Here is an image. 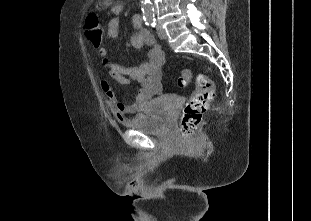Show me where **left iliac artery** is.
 <instances>
[{
	"label": "left iliac artery",
	"mask_w": 311,
	"mask_h": 221,
	"mask_svg": "<svg viewBox=\"0 0 311 221\" xmlns=\"http://www.w3.org/2000/svg\"><path fill=\"white\" fill-rule=\"evenodd\" d=\"M149 26L155 27V19L153 20V22Z\"/></svg>",
	"instance_id": "left-iliac-artery-1"
}]
</instances>
